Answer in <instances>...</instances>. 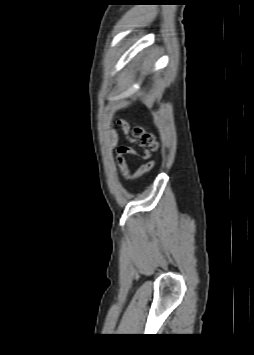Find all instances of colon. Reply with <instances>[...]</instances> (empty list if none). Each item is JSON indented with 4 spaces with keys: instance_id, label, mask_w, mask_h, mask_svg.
Masks as SVG:
<instances>
[{
    "instance_id": "obj_1",
    "label": "colon",
    "mask_w": 254,
    "mask_h": 355,
    "mask_svg": "<svg viewBox=\"0 0 254 355\" xmlns=\"http://www.w3.org/2000/svg\"><path fill=\"white\" fill-rule=\"evenodd\" d=\"M131 134H132V137L134 139L138 140L143 147H145L151 151L156 150L157 145L154 141V138L152 137V135L149 132L143 130L142 128L137 127L132 130Z\"/></svg>"
}]
</instances>
